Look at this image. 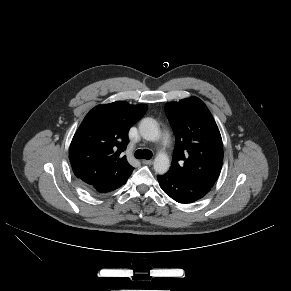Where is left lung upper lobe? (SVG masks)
Listing matches in <instances>:
<instances>
[{"label":"left lung upper lobe","instance_id":"obj_1","mask_svg":"<svg viewBox=\"0 0 291 291\" xmlns=\"http://www.w3.org/2000/svg\"><path fill=\"white\" fill-rule=\"evenodd\" d=\"M165 110L177 136L169 172L212 187L222 168L223 144L209 109L193 97L167 103Z\"/></svg>","mask_w":291,"mask_h":291}]
</instances>
